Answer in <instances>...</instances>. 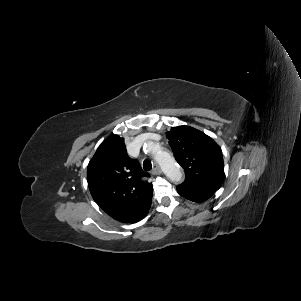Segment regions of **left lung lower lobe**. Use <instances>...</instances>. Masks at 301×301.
<instances>
[{"instance_id":"left-lung-lower-lobe-1","label":"left lung lower lobe","mask_w":301,"mask_h":301,"mask_svg":"<svg viewBox=\"0 0 301 301\" xmlns=\"http://www.w3.org/2000/svg\"><path fill=\"white\" fill-rule=\"evenodd\" d=\"M177 192L184 198L196 203H201L213 195V193L210 192L191 190L180 186H177Z\"/></svg>"}]
</instances>
